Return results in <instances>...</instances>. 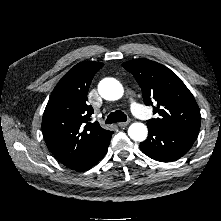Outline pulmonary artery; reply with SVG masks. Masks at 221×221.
Wrapping results in <instances>:
<instances>
[{
    "label": "pulmonary artery",
    "instance_id": "e3ab8cb5",
    "mask_svg": "<svg viewBox=\"0 0 221 221\" xmlns=\"http://www.w3.org/2000/svg\"><path fill=\"white\" fill-rule=\"evenodd\" d=\"M131 110L132 112L140 117V118H145L146 117V114L144 112V109L142 108V106L140 104H138L137 102H131Z\"/></svg>",
    "mask_w": 221,
    "mask_h": 221
}]
</instances>
